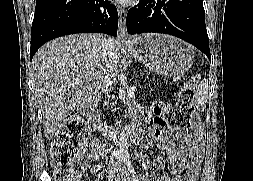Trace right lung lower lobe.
<instances>
[{
    "label": "right lung lower lobe",
    "instance_id": "right-lung-lower-lobe-1",
    "mask_svg": "<svg viewBox=\"0 0 253 181\" xmlns=\"http://www.w3.org/2000/svg\"><path fill=\"white\" fill-rule=\"evenodd\" d=\"M117 28V9L108 0H36L30 59L44 43L54 38L88 32L116 37Z\"/></svg>",
    "mask_w": 253,
    "mask_h": 181
}]
</instances>
